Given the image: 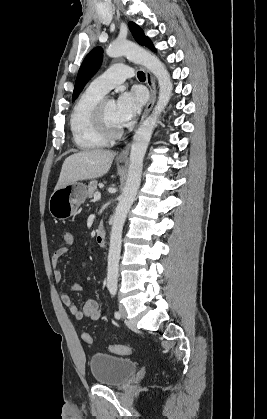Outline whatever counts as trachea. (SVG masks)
I'll return each instance as SVG.
<instances>
[{"label":"trachea","instance_id":"3493384b","mask_svg":"<svg viewBox=\"0 0 267 419\" xmlns=\"http://www.w3.org/2000/svg\"><path fill=\"white\" fill-rule=\"evenodd\" d=\"M137 77H138L139 80H145V74H144V72L139 71L137 73Z\"/></svg>","mask_w":267,"mask_h":419}]
</instances>
